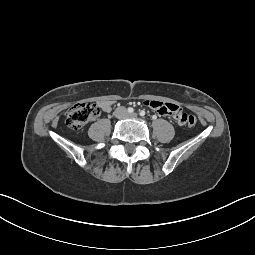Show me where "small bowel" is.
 Listing matches in <instances>:
<instances>
[{
  "label": "small bowel",
  "mask_w": 255,
  "mask_h": 255,
  "mask_svg": "<svg viewBox=\"0 0 255 255\" xmlns=\"http://www.w3.org/2000/svg\"><path fill=\"white\" fill-rule=\"evenodd\" d=\"M114 104L113 100H102L99 102V107L105 111L109 112ZM146 106L155 110L162 116H168L169 120L176 122L179 126H184L188 122V116L184 113L183 109L179 105L165 103L157 100H146L144 102Z\"/></svg>",
  "instance_id": "c3829d8e"
}]
</instances>
